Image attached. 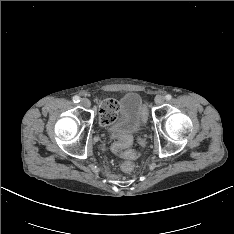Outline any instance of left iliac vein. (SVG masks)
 <instances>
[{"instance_id":"obj_1","label":"left iliac vein","mask_w":234,"mask_h":234,"mask_svg":"<svg viewBox=\"0 0 234 234\" xmlns=\"http://www.w3.org/2000/svg\"><path fill=\"white\" fill-rule=\"evenodd\" d=\"M164 101H165V98H164V96H162V95H159V96H157V97L155 98V103H156L157 105L163 104Z\"/></svg>"}]
</instances>
